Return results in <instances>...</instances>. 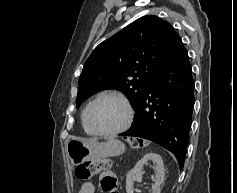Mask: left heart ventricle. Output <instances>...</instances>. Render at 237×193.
<instances>
[{"label":"left heart ventricle","instance_id":"b2bd125f","mask_svg":"<svg viewBox=\"0 0 237 193\" xmlns=\"http://www.w3.org/2000/svg\"><path fill=\"white\" fill-rule=\"evenodd\" d=\"M90 117L97 129L110 131L121 127L125 123L127 112L121 102L106 97L94 104Z\"/></svg>","mask_w":237,"mask_h":193}]
</instances>
